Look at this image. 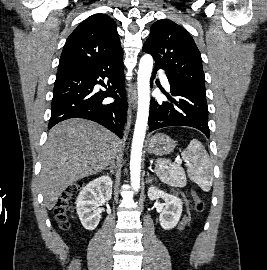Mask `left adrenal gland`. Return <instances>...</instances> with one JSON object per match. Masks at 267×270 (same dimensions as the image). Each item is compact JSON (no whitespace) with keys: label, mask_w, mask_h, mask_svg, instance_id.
Wrapping results in <instances>:
<instances>
[{"label":"left adrenal gland","mask_w":267,"mask_h":270,"mask_svg":"<svg viewBox=\"0 0 267 270\" xmlns=\"http://www.w3.org/2000/svg\"><path fill=\"white\" fill-rule=\"evenodd\" d=\"M151 181H153V178L150 177V174H149V172H148V173H147V180H146V183H149V182H151Z\"/></svg>","instance_id":"1"}]
</instances>
